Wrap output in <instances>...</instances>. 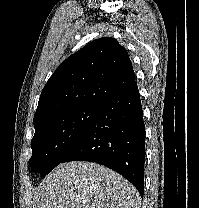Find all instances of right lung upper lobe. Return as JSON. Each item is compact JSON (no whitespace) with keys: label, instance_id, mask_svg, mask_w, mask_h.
Here are the masks:
<instances>
[{"label":"right lung upper lobe","instance_id":"1","mask_svg":"<svg viewBox=\"0 0 199 208\" xmlns=\"http://www.w3.org/2000/svg\"><path fill=\"white\" fill-rule=\"evenodd\" d=\"M135 83L129 55L118 41L103 37L64 60L47 81L34 126L70 109L99 106Z\"/></svg>","mask_w":199,"mask_h":208}]
</instances>
